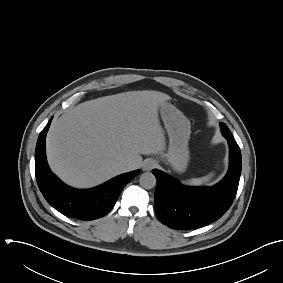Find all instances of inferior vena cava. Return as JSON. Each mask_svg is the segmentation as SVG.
Instances as JSON below:
<instances>
[{
    "label": "inferior vena cava",
    "mask_w": 283,
    "mask_h": 283,
    "mask_svg": "<svg viewBox=\"0 0 283 283\" xmlns=\"http://www.w3.org/2000/svg\"><path fill=\"white\" fill-rule=\"evenodd\" d=\"M119 167L121 168L122 172H128L134 169V166L129 161H121L119 163Z\"/></svg>",
    "instance_id": "obj_1"
}]
</instances>
